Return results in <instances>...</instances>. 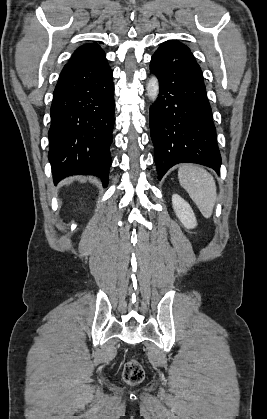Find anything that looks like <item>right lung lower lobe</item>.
Instances as JSON below:
<instances>
[{"instance_id":"right-lung-lower-lobe-1","label":"right lung lower lobe","mask_w":267,"mask_h":419,"mask_svg":"<svg viewBox=\"0 0 267 419\" xmlns=\"http://www.w3.org/2000/svg\"><path fill=\"white\" fill-rule=\"evenodd\" d=\"M114 85L107 61L67 63L54 90L48 132L55 184L69 175L98 176L108 184L112 160Z\"/></svg>"}]
</instances>
